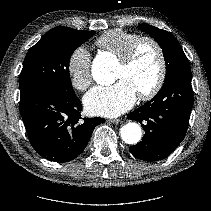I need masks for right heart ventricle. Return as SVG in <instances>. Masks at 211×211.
I'll list each match as a JSON object with an SVG mask.
<instances>
[{"mask_svg":"<svg viewBox=\"0 0 211 211\" xmlns=\"http://www.w3.org/2000/svg\"><path fill=\"white\" fill-rule=\"evenodd\" d=\"M141 36L134 32L113 29L103 33L95 44L120 59Z\"/></svg>","mask_w":211,"mask_h":211,"instance_id":"obj_1","label":"right heart ventricle"}]
</instances>
